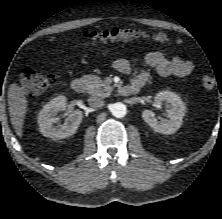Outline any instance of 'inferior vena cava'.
I'll list each match as a JSON object with an SVG mask.
<instances>
[{
	"label": "inferior vena cava",
	"instance_id": "inferior-vena-cava-1",
	"mask_svg": "<svg viewBox=\"0 0 222 219\" xmlns=\"http://www.w3.org/2000/svg\"><path fill=\"white\" fill-rule=\"evenodd\" d=\"M88 103L93 108H100L104 105V100L97 96H91L88 98Z\"/></svg>",
	"mask_w": 222,
	"mask_h": 219
}]
</instances>
